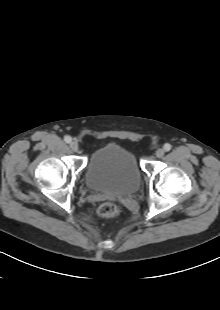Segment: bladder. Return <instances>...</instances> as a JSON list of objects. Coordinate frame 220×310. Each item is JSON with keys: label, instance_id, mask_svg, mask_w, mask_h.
<instances>
[{"label": "bladder", "instance_id": "bladder-1", "mask_svg": "<svg viewBox=\"0 0 220 310\" xmlns=\"http://www.w3.org/2000/svg\"><path fill=\"white\" fill-rule=\"evenodd\" d=\"M85 183L94 192L115 197L126 196L139 189L141 174L129 150L108 144L90 155L85 168Z\"/></svg>", "mask_w": 220, "mask_h": 310}]
</instances>
